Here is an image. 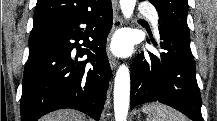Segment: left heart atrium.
Segmentation results:
<instances>
[{"label": "left heart atrium", "instance_id": "left-heart-atrium-1", "mask_svg": "<svg viewBox=\"0 0 217 121\" xmlns=\"http://www.w3.org/2000/svg\"><path fill=\"white\" fill-rule=\"evenodd\" d=\"M126 47H127V44H126V41L125 39L121 38L117 41L116 43V49L119 51V52H123L126 50Z\"/></svg>", "mask_w": 217, "mask_h": 121}]
</instances>
